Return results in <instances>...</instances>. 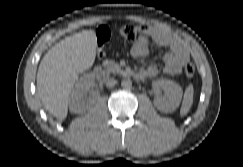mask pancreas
Masks as SVG:
<instances>
[{
    "mask_svg": "<svg viewBox=\"0 0 243 167\" xmlns=\"http://www.w3.org/2000/svg\"><path fill=\"white\" fill-rule=\"evenodd\" d=\"M103 66L107 73L119 74L123 72L121 66L112 60H105Z\"/></svg>",
    "mask_w": 243,
    "mask_h": 167,
    "instance_id": "cf45deb5",
    "label": "pancreas"
}]
</instances>
